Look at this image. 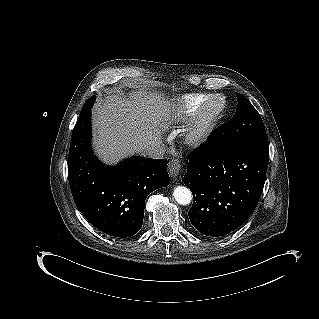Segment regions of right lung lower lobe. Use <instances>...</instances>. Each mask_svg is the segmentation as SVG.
Here are the masks:
<instances>
[{"mask_svg":"<svg viewBox=\"0 0 319 319\" xmlns=\"http://www.w3.org/2000/svg\"><path fill=\"white\" fill-rule=\"evenodd\" d=\"M91 110L72 132L68 177L74 201L98 230L130 237L142 227L148 194L169 185L165 159L132 157L117 166L103 165L92 153Z\"/></svg>","mask_w":319,"mask_h":319,"instance_id":"right-lung-lower-lobe-1","label":"right lung lower lobe"}]
</instances>
